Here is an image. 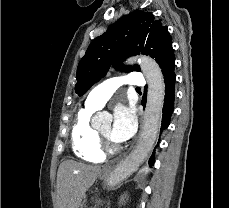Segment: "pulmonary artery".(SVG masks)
I'll return each instance as SVG.
<instances>
[{"mask_svg": "<svg viewBox=\"0 0 229 208\" xmlns=\"http://www.w3.org/2000/svg\"><path fill=\"white\" fill-rule=\"evenodd\" d=\"M141 76V72H130L129 74L105 79L91 90L85 102L86 106L94 110L101 109L111 98L113 93L119 87L124 85H132V87H145L146 83L144 78H133Z\"/></svg>", "mask_w": 229, "mask_h": 208, "instance_id": "obj_1", "label": "pulmonary artery"}]
</instances>
